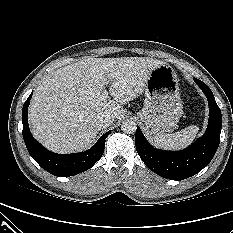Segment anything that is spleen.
Masks as SVG:
<instances>
[{
  "label": "spleen",
  "mask_w": 233,
  "mask_h": 233,
  "mask_svg": "<svg viewBox=\"0 0 233 233\" xmlns=\"http://www.w3.org/2000/svg\"><path fill=\"white\" fill-rule=\"evenodd\" d=\"M198 131L197 126H189L173 134L156 135L154 136V142L163 149L180 150L195 140Z\"/></svg>",
  "instance_id": "obj_1"
}]
</instances>
